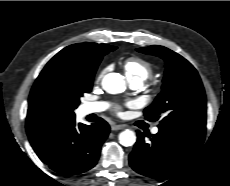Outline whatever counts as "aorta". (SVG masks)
<instances>
[{
    "mask_svg": "<svg viewBox=\"0 0 230 186\" xmlns=\"http://www.w3.org/2000/svg\"><path fill=\"white\" fill-rule=\"evenodd\" d=\"M102 87L110 94H117L126 89V83L119 73H109L102 79ZM119 142L126 147L132 146L136 142V135L132 130H124L119 134Z\"/></svg>",
    "mask_w": 230,
    "mask_h": 186,
    "instance_id": "obj_1",
    "label": "aorta"
}]
</instances>
